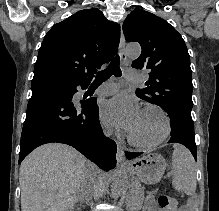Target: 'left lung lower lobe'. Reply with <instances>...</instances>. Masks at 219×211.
Segmentation results:
<instances>
[{
  "label": "left lung lower lobe",
  "instance_id": "obj_1",
  "mask_svg": "<svg viewBox=\"0 0 219 211\" xmlns=\"http://www.w3.org/2000/svg\"><path fill=\"white\" fill-rule=\"evenodd\" d=\"M168 143H180L186 146L197 160L194 125L175 123L171 124V138ZM127 159H133L142 154V152H125Z\"/></svg>",
  "mask_w": 219,
  "mask_h": 211
}]
</instances>
